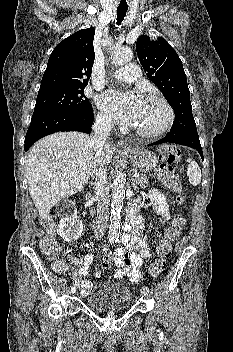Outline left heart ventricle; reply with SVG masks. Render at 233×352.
<instances>
[{"label":"left heart ventricle","instance_id":"left-heart-ventricle-1","mask_svg":"<svg viewBox=\"0 0 233 352\" xmlns=\"http://www.w3.org/2000/svg\"><path fill=\"white\" fill-rule=\"evenodd\" d=\"M167 111L157 100H142L134 127L143 131H154L166 121Z\"/></svg>","mask_w":233,"mask_h":352}]
</instances>
